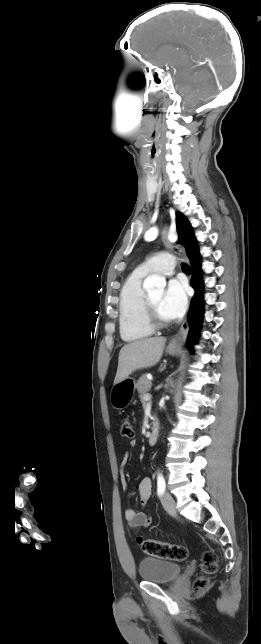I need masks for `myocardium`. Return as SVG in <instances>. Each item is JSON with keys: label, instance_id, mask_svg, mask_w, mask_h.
Returning <instances> with one entry per match:
<instances>
[{"label": "myocardium", "instance_id": "obj_1", "mask_svg": "<svg viewBox=\"0 0 261 644\" xmlns=\"http://www.w3.org/2000/svg\"><path fill=\"white\" fill-rule=\"evenodd\" d=\"M145 315L148 323L153 329L164 328L170 324L169 320L163 319L158 315L149 294L145 295Z\"/></svg>", "mask_w": 261, "mask_h": 644}]
</instances>
